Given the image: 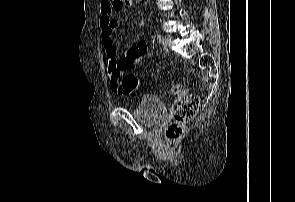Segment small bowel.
I'll use <instances>...</instances> for the list:
<instances>
[{"instance_id": "obj_1", "label": "small bowel", "mask_w": 295, "mask_h": 202, "mask_svg": "<svg viewBox=\"0 0 295 202\" xmlns=\"http://www.w3.org/2000/svg\"><path fill=\"white\" fill-rule=\"evenodd\" d=\"M122 7L116 8L111 0H101L100 5V29L101 42L107 54L110 87L114 92L122 93L121 76L124 72L131 70L135 65L148 60L146 53L149 44L141 40L135 45L126 49L124 54L119 55L115 36L118 33V23L114 17V12Z\"/></svg>"}]
</instances>
